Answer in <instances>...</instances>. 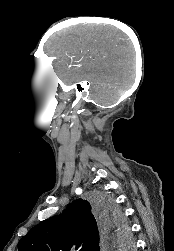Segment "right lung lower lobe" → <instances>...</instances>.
<instances>
[{"label": "right lung lower lobe", "instance_id": "1", "mask_svg": "<svg viewBox=\"0 0 174 251\" xmlns=\"http://www.w3.org/2000/svg\"><path fill=\"white\" fill-rule=\"evenodd\" d=\"M103 230H104V233H103V235H102V241H101V248H102V250H105V249H107L108 247V243H111L112 244V242L110 241L109 242V240H108V238L107 237H109L110 236V233L109 232H107L106 231V229L103 227Z\"/></svg>", "mask_w": 174, "mask_h": 251}]
</instances>
